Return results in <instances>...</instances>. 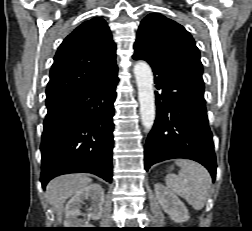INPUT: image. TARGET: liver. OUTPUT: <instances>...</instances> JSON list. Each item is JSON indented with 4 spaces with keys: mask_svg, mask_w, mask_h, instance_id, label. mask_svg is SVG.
<instances>
[{
    "mask_svg": "<svg viewBox=\"0 0 252 231\" xmlns=\"http://www.w3.org/2000/svg\"><path fill=\"white\" fill-rule=\"evenodd\" d=\"M91 181L92 179L85 174H70L59 176L49 182L46 197L52 205L59 223L62 222L66 200L87 187Z\"/></svg>",
    "mask_w": 252,
    "mask_h": 231,
    "instance_id": "6515ba94",
    "label": "liver"
}]
</instances>
